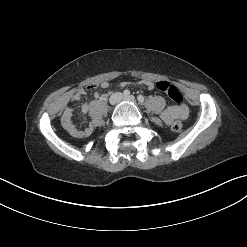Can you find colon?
I'll return each instance as SVG.
<instances>
[{"label":"colon","instance_id":"5ec220e1","mask_svg":"<svg viewBox=\"0 0 247 247\" xmlns=\"http://www.w3.org/2000/svg\"><path fill=\"white\" fill-rule=\"evenodd\" d=\"M156 88L165 93L172 101L176 103H181L183 101V96L180 90L167 81H159L156 83ZM182 129V123L180 121H175L172 124V130L179 132Z\"/></svg>","mask_w":247,"mask_h":247}]
</instances>
